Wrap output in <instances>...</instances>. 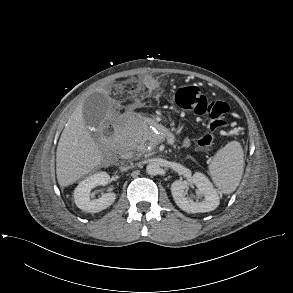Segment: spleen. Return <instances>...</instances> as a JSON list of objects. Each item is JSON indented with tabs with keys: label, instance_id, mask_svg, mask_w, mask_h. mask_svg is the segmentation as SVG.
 <instances>
[{
	"label": "spleen",
	"instance_id": "spleen-1",
	"mask_svg": "<svg viewBox=\"0 0 293 293\" xmlns=\"http://www.w3.org/2000/svg\"><path fill=\"white\" fill-rule=\"evenodd\" d=\"M244 153L239 142L221 148L209 165V173L220 191L229 194L238 186L244 167Z\"/></svg>",
	"mask_w": 293,
	"mask_h": 293
}]
</instances>
